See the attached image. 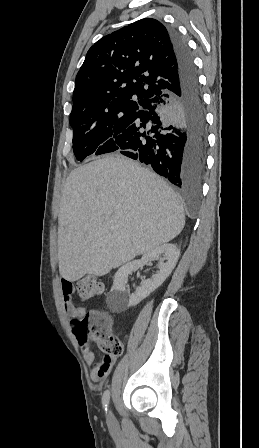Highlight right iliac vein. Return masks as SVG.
<instances>
[{
	"mask_svg": "<svg viewBox=\"0 0 259 448\" xmlns=\"http://www.w3.org/2000/svg\"><path fill=\"white\" fill-rule=\"evenodd\" d=\"M107 420H108L109 424H114L115 423V419H114V416H113L111 410H109V412H108Z\"/></svg>",
	"mask_w": 259,
	"mask_h": 448,
	"instance_id": "obj_1",
	"label": "right iliac vein"
}]
</instances>
